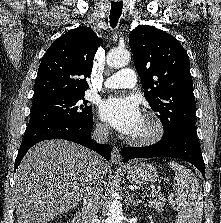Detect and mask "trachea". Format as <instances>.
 Segmentation results:
<instances>
[{
	"label": "trachea",
	"instance_id": "1",
	"mask_svg": "<svg viewBox=\"0 0 221 223\" xmlns=\"http://www.w3.org/2000/svg\"><path fill=\"white\" fill-rule=\"evenodd\" d=\"M123 8V2H112L110 10V25L114 28L118 23Z\"/></svg>",
	"mask_w": 221,
	"mask_h": 223
}]
</instances>
